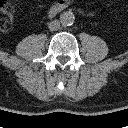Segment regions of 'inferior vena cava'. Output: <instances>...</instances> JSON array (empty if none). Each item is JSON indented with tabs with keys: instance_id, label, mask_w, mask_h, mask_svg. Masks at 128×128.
<instances>
[{
	"instance_id": "inferior-vena-cava-1",
	"label": "inferior vena cava",
	"mask_w": 128,
	"mask_h": 128,
	"mask_svg": "<svg viewBox=\"0 0 128 128\" xmlns=\"http://www.w3.org/2000/svg\"><path fill=\"white\" fill-rule=\"evenodd\" d=\"M48 28L51 31H56L60 28V22L58 20H54L48 24Z\"/></svg>"
}]
</instances>
